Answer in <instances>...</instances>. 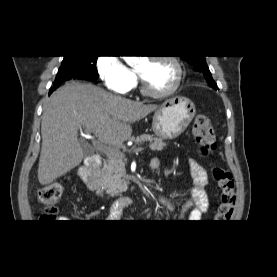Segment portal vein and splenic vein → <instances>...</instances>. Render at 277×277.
Returning a JSON list of instances; mask_svg holds the SVG:
<instances>
[{
    "label": "portal vein and splenic vein",
    "mask_w": 277,
    "mask_h": 277,
    "mask_svg": "<svg viewBox=\"0 0 277 277\" xmlns=\"http://www.w3.org/2000/svg\"><path fill=\"white\" fill-rule=\"evenodd\" d=\"M87 133L89 134L90 132L87 131ZM93 145L95 146V148H97L99 151L105 153L108 156H111L112 154L116 153V150L111 148V147H107L104 146L102 143H100L99 141H93ZM143 150L142 147H138L135 149L136 152H141Z\"/></svg>",
    "instance_id": "portal-vein-and-splenic-vein-1"
}]
</instances>
